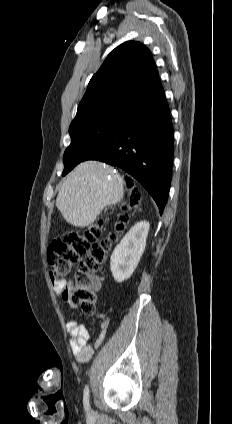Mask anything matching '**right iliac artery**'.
I'll return each instance as SVG.
<instances>
[{
	"label": "right iliac artery",
	"instance_id": "obj_1",
	"mask_svg": "<svg viewBox=\"0 0 232 424\" xmlns=\"http://www.w3.org/2000/svg\"><path fill=\"white\" fill-rule=\"evenodd\" d=\"M83 402L86 410H89V388L86 385L83 394Z\"/></svg>",
	"mask_w": 232,
	"mask_h": 424
}]
</instances>
